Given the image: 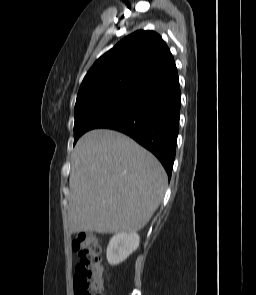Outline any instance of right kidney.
Here are the masks:
<instances>
[{
	"mask_svg": "<svg viewBox=\"0 0 256 295\" xmlns=\"http://www.w3.org/2000/svg\"><path fill=\"white\" fill-rule=\"evenodd\" d=\"M140 237L136 232L115 234L107 247V261L110 265H118L127 259L138 247Z\"/></svg>",
	"mask_w": 256,
	"mask_h": 295,
	"instance_id": "right-kidney-1",
	"label": "right kidney"
}]
</instances>
